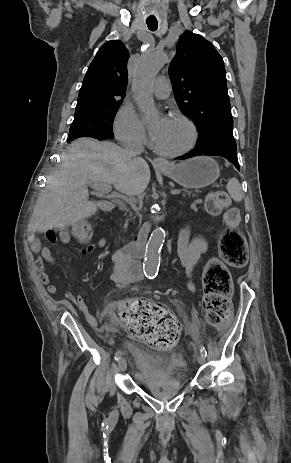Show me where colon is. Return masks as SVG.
I'll return each mask as SVG.
<instances>
[{
    "label": "colon",
    "mask_w": 291,
    "mask_h": 463,
    "mask_svg": "<svg viewBox=\"0 0 291 463\" xmlns=\"http://www.w3.org/2000/svg\"><path fill=\"white\" fill-rule=\"evenodd\" d=\"M230 204L228 194L217 191L207 199L206 208L210 212L225 210L226 229L220 239V254L225 263L242 267L247 261L246 242L238 230L240 214ZM91 235V228L83 221H77L71 230V237L79 243H85ZM45 236L49 242L57 240L53 230H48ZM203 285V305L208 322L214 326L225 325L233 312L230 300L232 285L227 268L218 260L210 261L204 272ZM111 313L132 336L158 349H169L177 340L179 325L176 319L154 303L136 299L115 305Z\"/></svg>",
    "instance_id": "1"
}]
</instances>
